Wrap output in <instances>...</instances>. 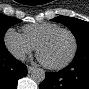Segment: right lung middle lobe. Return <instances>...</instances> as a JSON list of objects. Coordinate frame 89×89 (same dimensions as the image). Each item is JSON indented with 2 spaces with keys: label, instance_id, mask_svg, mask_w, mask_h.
Returning a JSON list of instances; mask_svg holds the SVG:
<instances>
[{
  "label": "right lung middle lobe",
  "instance_id": "right-lung-middle-lobe-1",
  "mask_svg": "<svg viewBox=\"0 0 89 89\" xmlns=\"http://www.w3.org/2000/svg\"><path fill=\"white\" fill-rule=\"evenodd\" d=\"M21 22V20L14 17L5 16L0 14V49L6 48L3 39L6 31L14 24Z\"/></svg>",
  "mask_w": 89,
  "mask_h": 89
}]
</instances>
